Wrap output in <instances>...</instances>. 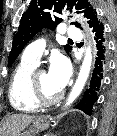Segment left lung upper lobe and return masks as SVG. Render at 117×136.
<instances>
[{"label": "left lung upper lobe", "mask_w": 117, "mask_h": 136, "mask_svg": "<svg viewBox=\"0 0 117 136\" xmlns=\"http://www.w3.org/2000/svg\"><path fill=\"white\" fill-rule=\"evenodd\" d=\"M75 8L76 13H84L90 27L100 23L96 10L88 0H32L27 11L23 14L17 34L13 38L12 50L9 54L8 66H11L24 46L43 28L54 30L62 19L51 17L50 11L62 12V8ZM80 27L78 22H75ZM65 50L70 52L71 47L66 45Z\"/></svg>", "instance_id": "5c2ea615"}]
</instances>
